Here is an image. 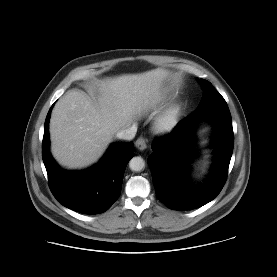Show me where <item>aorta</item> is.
Returning <instances> with one entry per match:
<instances>
[{"label":"aorta","instance_id":"762f6f07","mask_svg":"<svg viewBox=\"0 0 277 277\" xmlns=\"http://www.w3.org/2000/svg\"><path fill=\"white\" fill-rule=\"evenodd\" d=\"M129 167L132 171H141L145 168V161L142 157H133L129 162Z\"/></svg>","mask_w":277,"mask_h":277}]
</instances>
